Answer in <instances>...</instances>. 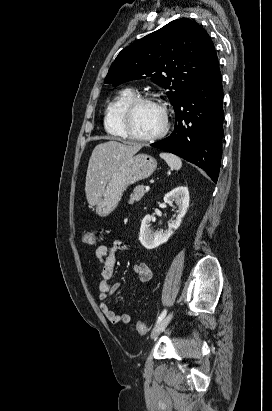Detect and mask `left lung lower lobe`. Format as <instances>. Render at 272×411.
<instances>
[{"mask_svg":"<svg viewBox=\"0 0 272 411\" xmlns=\"http://www.w3.org/2000/svg\"><path fill=\"white\" fill-rule=\"evenodd\" d=\"M223 88L218 60L174 107L172 134L151 144L197 165L217 181L221 157L224 112Z\"/></svg>","mask_w":272,"mask_h":411,"instance_id":"0a47b994","label":"left lung lower lobe"}]
</instances>
